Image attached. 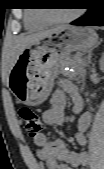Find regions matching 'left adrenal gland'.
Returning <instances> with one entry per match:
<instances>
[{"mask_svg":"<svg viewBox=\"0 0 104 169\" xmlns=\"http://www.w3.org/2000/svg\"><path fill=\"white\" fill-rule=\"evenodd\" d=\"M91 52H92V49L88 51V55L86 57L87 65L91 64Z\"/></svg>","mask_w":104,"mask_h":169,"instance_id":"a2214340","label":"left adrenal gland"}]
</instances>
